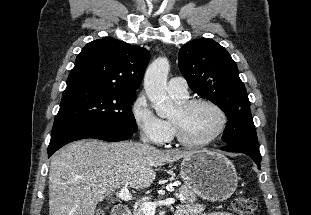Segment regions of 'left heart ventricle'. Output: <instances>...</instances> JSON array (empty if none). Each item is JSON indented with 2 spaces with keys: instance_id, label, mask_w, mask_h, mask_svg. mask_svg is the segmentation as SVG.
<instances>
[{
  "instance_id": "obj_1",
  "label": "left heart ventricle",
  "mask_w": 311,
  "mask_h": 215,
  "mask_svg": "<svg viewBox=\"0 0 311 215\" xmlns=\"http://www.w3.org/2000/svg\"><path fill=\"white\" fill-rule=\"evenodd\" d=\"M171 119L181 125L189 140L196 142L210 137L220 124V116L217 111L205 104L196 105L186 113H181L176 108Z\"/></svg>"
}]
</instances>
